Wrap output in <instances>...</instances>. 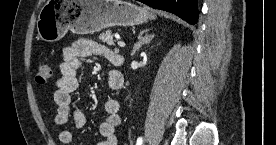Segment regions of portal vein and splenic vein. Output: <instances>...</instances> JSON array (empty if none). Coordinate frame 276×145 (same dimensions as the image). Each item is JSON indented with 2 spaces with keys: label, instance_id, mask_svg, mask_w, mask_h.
I'll list each match as a JSON object with an SVG mask.
<instances>
[{
  "label": "portal vein and splenic vein",
  "instance_id": "1",
  "mask_svg": "<svg viewBox=\"0 0 276 145\" xmlns=\"http://www.w3.org/2000/svg\"><path fill=\"white\" fill-rule=\"evenodd\" d=\"M117 44L119 47H125V43L123 41H118Z\"/></svg>",
  "mask_w": 276,
  "mask_h": 145
}]
</instances>
